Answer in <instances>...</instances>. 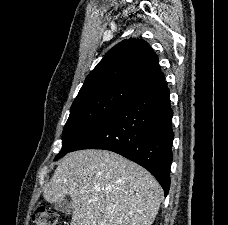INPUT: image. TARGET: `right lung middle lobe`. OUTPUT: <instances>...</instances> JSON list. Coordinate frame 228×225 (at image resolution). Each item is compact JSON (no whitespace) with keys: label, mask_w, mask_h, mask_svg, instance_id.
Masks as SVG:
<instances>
[{"label":"right lung middle lobe","mask_w":228,"mask_h":225,"mask_svg":"<svg viewBox=\"0 0 228 225\" xmlns=\"http://www.w3.org/2000/svg\"><path fill=\"white\" fill-rule=\"evenodd\" d=\"M140 89L123 82L88 88L78 94L63 130L62 149L55 160L71 151L89 131L110 116Z\"/></svg>","instance_id":"obj_1"}]
</instances>
